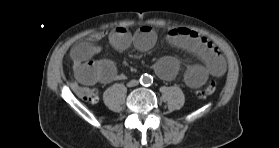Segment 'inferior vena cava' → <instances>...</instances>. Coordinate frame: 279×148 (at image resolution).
Returning <instances> with one entry per match:
<instances>
[{
	"mask_svg": "<svg viewBox=\"0 0 279 148\" xmlns=\"http://www.w3.org/2000/svg\"><path fill=\"white\" fill-rule=\"evenodd\" d=\"M138 81L137 80H131L129 83H128V86L132 87V86H136L138 85Z\"/></svg>",
	"mask_w": 279,
	"mask_h": 148,
	"instance_id": "obj_1",
	"label": "inferior vena cava"
}]
</instances>
